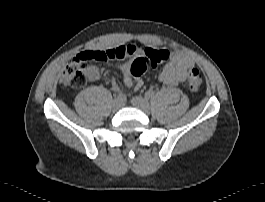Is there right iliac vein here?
I'll use <instances>...</instances> for the list:
<instances>
[{"mask_svg":"<svg viewBox=\"0 0 265 202\" xmlns=\"http://www.w3.org/2000/svg\"><path fill=\"white\" fill-rule=\"evenodd\" d=\"M122 102L119 99H115L112 103V110L117 111L120 109Z\"/></svg>","mask_w":265,"mask_h":202,"instance_id":"obj_1","label":"right iliac vein"}]
</instances>
